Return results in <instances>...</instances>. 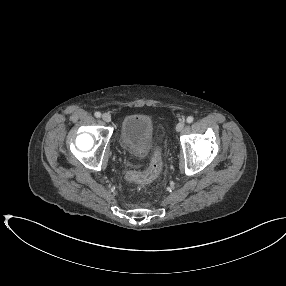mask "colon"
<instances>
[{"instance_id":"colon-1","label":"colon","mask_w":286,"mask_h":286,"mask_svg":"<svg viewBox=\"0 0 286 286\" xmlns=\"http://www.w3.org/2000/svg\"><path fill=\"white\" fill-rule=\"evenodd\" d=\"M163 159L160 149H156L151 158L149 167L144 171L130 169L127 172V179L137 183H149L158 177L162 170Z\"/></svg>"}]
</instances>
